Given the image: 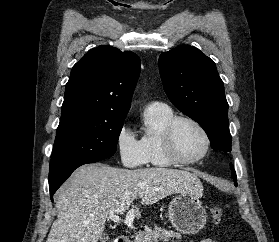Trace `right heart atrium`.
Here are the masks:
<instances>
[{
  "instance_id": "d8ad5b80",
  "label": "right heart atrium",
  "mask_w": 279,
  "mask_h": 242,
  "mask_svg": "<svg viewBox=\"0 0 279 242\" xmlns=\"http://www.w3.org/2000/svg\"><path fill=\"white\" fill-rule=\"evenodd\" d=\"M116 147L124 166L136 168L146 163V157L140 141L126 124H123L118 130Z\"/></svg>"
}]
</instances>
